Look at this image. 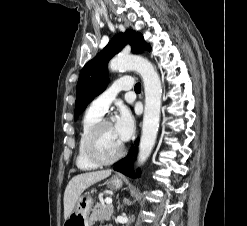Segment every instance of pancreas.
Segmentation results:
<instances>
[{"label": "pancreas", "instance_id": "pancreas-1", "mask_svg": "<svg viewBox=\"0 0 247 226\" xmlns=\"http://www.w3.org/2000/svg\"><path fill=\"white\" fill-rule=\"evenodd\" d=\"M111 218H113V207L111 205H105L104 203H98L93 209L89 220L90 222H102L104 220L109 221Z\"/></svg>", "mask_w": 247, "mask_h": 226}]
</instances>
